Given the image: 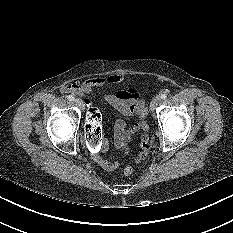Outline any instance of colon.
Instances as JSON below:
<instances>
[{
	"label": "colon",
	"mask_w": 233,
	"mask_h": 233,
	"mask_svg": "<svg viewBox=\"0 0 233 233\" xmlns=\"http://www.w3.org/2000/svg\"><path fill=\"white\" fill-rule=\"evenodd\" d=\"M100 112L97 107H90L87 112V119L85 122V148L89 154H96L102 148V138L103 131L100 122ZM140 128L143 130V134L140 139L141 150L136 158V162L139 163L145 160L149 154V151L152 146V140L148 135V123L143 119L140 122ZM133 170L131 167L127 166L123 170L125 176H130Z\"/></svg>",
	"instance_id": "colon-1"
}]
</instances>
